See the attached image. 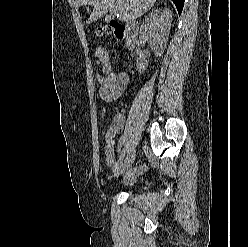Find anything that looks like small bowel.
Wrapping results in <instances>:
<instances>
[{
	"mask_svg": "<svg viewBox=\"0 0 248 247\" xmlns=\"http://www.w3.org/2000/svg\"><path fill=\"white\" fill-rule=\"evenodd\" d=\"M96 78L99 84L100 97L105 102H112L118 99L123 94L128 84V76L124 72H111L107 76H103L97 72ZM124 123V116L117 115L105 134L106 146L104 148V153L106 156V162L115 175L121 171V164L117 161L115 156L113 137L123 130ZM143 171L144 167L142 166L133 169L128 175V179H132Z\"/></svg>",
	"mask_w": 248,
	"mask_h": 247,
	"instance_id": "small-bowel-1",
	"label": "small bowel"
}]
</instances>
